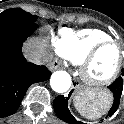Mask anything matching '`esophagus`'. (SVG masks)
<instances>
[{"label":"esophagus","instance_id":"obj_1","mask_svg":"<svg viewBox=\"0 0 124 124\" xmlns=\"http://www.w3.org/2000/svg\"><path fill=\"white\" fill-rule=\"evenodd\" d=\"M59 67V62L56 60V61H53L51 64H50V69L51 70H56L57 68ZM75 89L78 88V85L76 84Z\"/></svg>","mask_w":124,"mask_h":124}]
</instances>
